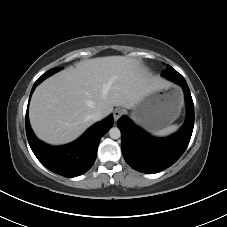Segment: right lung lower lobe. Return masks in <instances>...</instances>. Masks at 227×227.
Masks as SVG:
<instances>
[{
    "instance_id": "98d812e1",
    "label": "right lung lower lobe",
    "mask_w": 227,
    "mask_h": 227,
    "mask_svg": "<svg viewBox=\"0 0 227 227\" xmlns=\"http://www.w3.org/2000/svg\"><path fill=\"white\" fill-rule=\"evenodd\" d=\"M40 82V79L35 82L31 94ZM113 121V117L109 116L89 128L75 142L65 146L54 147L36 138L30 127L27 112L26 134L33 153L46 168L65 177H76L88 171L94 164L99 141L112 127Z\"/></svg>"
}]
</instances>
